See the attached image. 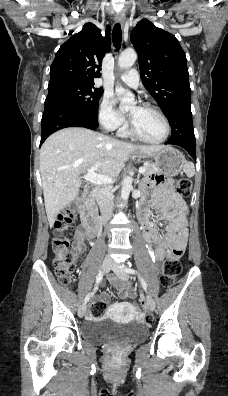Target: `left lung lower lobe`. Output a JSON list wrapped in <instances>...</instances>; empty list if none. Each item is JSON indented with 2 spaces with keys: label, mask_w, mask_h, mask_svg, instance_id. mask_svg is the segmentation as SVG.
<instances>
[{
  "label": "left lung lower lobe",
  "mask_w": 228,
  "mask_h": 396,
  "mask_svg": "<svg viewBox=\"0 0 228 396\" xmlns=\"http://www.w3.org/2000/svg\"><path fill=\"white\" fill-rule=\"evenodd\" d=\"M179 108L181 109V116L179 118H175L172 115L167 116L172 128V133L165 144L179 145L183 147L196 161L191 103L184 102L179 105Z\"/></svg>",
  "instance_id": "1"
}]
</instances>
